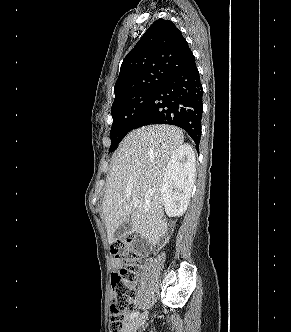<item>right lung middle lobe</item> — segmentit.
I'll use <instances>...</instances> for the list:
<instances>
[{
    "mask_svg": "<svg viewBox=\"0 0 291 332\" xmlns=\"http://www.w3.org/2000/svg\"><path fill=\"white\" fill-rule=\"evenodd\" d=\"M160 83L161 81H155L147 88L129 93L113 102L111 108L113 125L110 131V152L114 151L126 134L133 130L137 116L153 96Z\"/></svg>",
    "mask_w": 291,
    "mask_h": 332,
    "instance_id": "1",
    "label": "right lung middle lobe"
}]
</instances>
